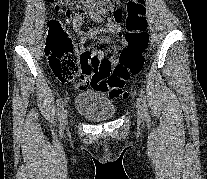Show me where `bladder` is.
<instances>
[{
	"mask_svg": "<svg viewBox=\"0 0 207 179\" xmlns=\"http://www.w3.org/2000/svg\"><path fill=\"white\" fill-rule=\"evenodd\" d=\"M76 112L91 122H104L116 116V107L100 89L92 88L76 96Z\"/></svg>",
	"mask_w": 207,
	"mask_h": 179,
	"instance_id": "31cf9c89",
	"label": "bladder"
}]
</instances>
